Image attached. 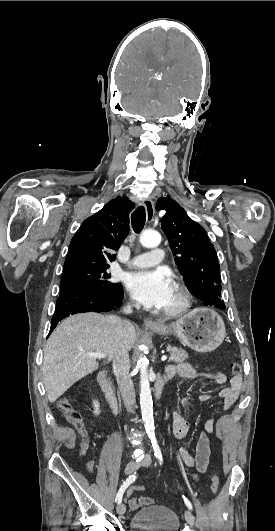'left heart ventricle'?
Here are the masks:
<instances>
[{
  "label": "left heart ventricle",
  "mask_w": 275,
  "mask_h": 531,
  "mask_svg": "<svg viewBox=\"0 0 275 531\" xmlns=\"http://www.w3.org/2000/svg\"><path fill=\"white\" fill-rule=\"evenodd\" d=\"M177 300H178V293L175 290L174 286L172 285L171 290L169 292V295L167 297V300H166L165 304L160 309L164 310V309H166L168 307L173 306L177 302Z\"/></svg>",
  "instance_id": "obj_1"
}]
</instances>
